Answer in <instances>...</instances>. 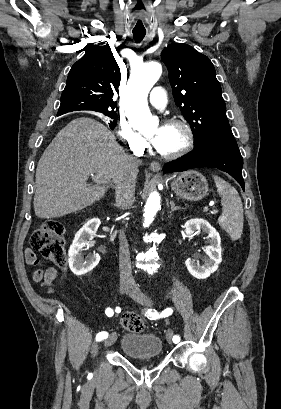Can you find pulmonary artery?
<instances>
[{"mask_svg":"<svg viewBox=\"0 0 281 409\" xmlns=\"http://www.w3.org/2000/svg\"><path fill=\"white\" fill-rule=\"evenodd\" d=\"M151 104L156 110H160L162 106L166 105L165 91L161 86H154L152 88Z\"/></svg>","mask_w":281,"mask_h":409,"instance_id":"obj_1","label":"pulmonary artery"}]
</instances>
